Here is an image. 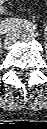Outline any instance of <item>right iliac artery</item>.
Segmentation results:
<instances>
[{"instance_id": "1", "label": "right iliac artery", "mask_w": 47, "mask_h": 129, "mask_svg": "<svg viewBox=\"0 0 47 129\" xmlns=\"http://www.w3.org/2000/svg\"><path fill=\"white\" fill-rule=\"evenodd\" d=\"M14 29H24L28 31H34L35 27L32 23L22 19H7L1 25V33L5 34Z\"/></svg>"}]
</instances>
